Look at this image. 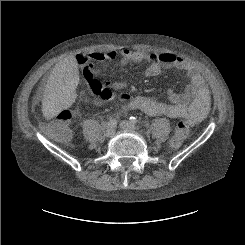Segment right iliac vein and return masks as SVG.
Listing matches in <instances>:
<instances>
[{
  "label": "right iliac vein",
  "instance_id": "63e3f726",
  "mask_svg": "<svg viewBox=\"0 0 245 245\" xmlns=\"http://www.w3.org/2000/svg\"><path fill=\"white\" fill-rule=\"evenodd\" d=\"M115 134V129L114 128H108L106 131H105V136L106 137H112L114 136Z\"/></svg>",
  "mask_w": 245,
  "mask_h": 245
}]
</instances>
